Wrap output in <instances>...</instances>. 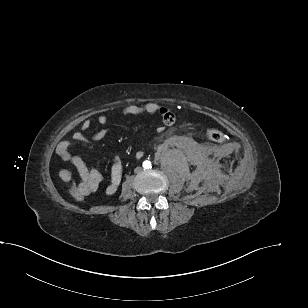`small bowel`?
<instances>
[{
    "mask_svg": "<svg viewBox=\"0 0 308 308\" xmlns=\"http://www.w3.org/2000/svg\"><path fill=\"white\" fill-rule=\"evenodd\" d=\"M154 114L158 113L161 115L163 122L166 125L173 124L175 118L174 114L165 106L157 103H146L144 105H128L121 109L120 114L124 116H133L139 114ZM97 122L104 126L107 123V117L101 115L98 117ZM91 126L89 120H85L82 123V130L87 131ZM108 134V129L102 128L93 135V140L99 141L105 138ZM73 139L77 142H88V139L82 132H76L73 135ZM71 142L69 140L61 141L58 144L57 151L61 158L71 163L77 170L79 176V186L84 190L92 193L98 189L103 181L102 174L96 169H90L87 163L79 156H73L69 152ZM122 179V163L119 157H115L111 167L110 180L106 186V193L111 195L114 194Z\"/></svg>",
    "mask_w": 308,
    "mask_h": 308,
    "instance_id": "small-bowel-1",
    "label": "small bowel"
}]
</instances>
